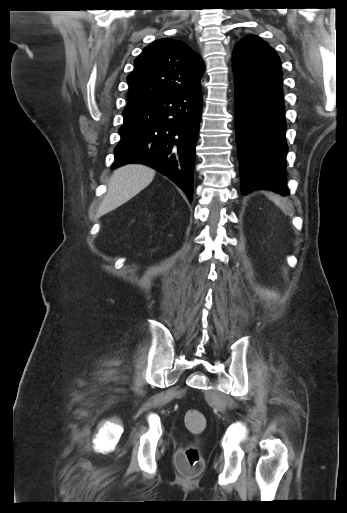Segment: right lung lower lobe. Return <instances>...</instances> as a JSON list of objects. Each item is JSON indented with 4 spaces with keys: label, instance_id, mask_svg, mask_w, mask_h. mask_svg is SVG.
<instances>
[{
    "label": "right lung lower lobe",
    "instance_id": "obj_1",
    "mask_svg": "<svg viewBox=\"0 0 347 513\" xmlns=\"http://www.w3.org/2000/svg\"><path fill=\"white\" fill-rule=\"evenodd\" d=\"M202 112L201 90L126 107L113 168L142 163L193 196L195 147Z\"/></svg>",
    "mask_w": 347,
    "mask_h": 513
}]
</instances>
